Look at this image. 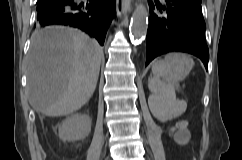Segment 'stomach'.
Returning <instances> with one entry per match:
<instances>
[{"instance_id": "1", "label": "stomach", "mask_w": 242, "mask_h": 160, "mask_svg": "<svg viewBox=\"0 0 242 160\" xmlns=\"http://www.w3.org/2000/svg\"><path fill=\"white\" fill-rule=\"evenodd\" d=\"M179 55H180L179 60L181 63V69L178 74L180 79H183L191 70L193 63L191 61V58L188 57L187 55H184V54H179Z\"/></svg>"}]
</instances>
